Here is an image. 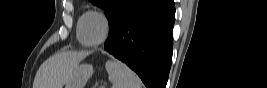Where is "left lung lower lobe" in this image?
<instances>
[{
    "instance_id": "0a47b994",
    "label": "left lung lower lobe",
    "mask_w": 267,
    "mask_h": 88,
    "mask_svg": "<svg viewBox=\"0 0 267 88\" xmlns=\"http://www.w3.org/2000/svg\"><path fill=\"white\" fill-rule=\"evenodd\" d=\"M173 0H133L110 27L104 49L147 88H165L172 59Z\"/></svg>"
}]
</instances>
